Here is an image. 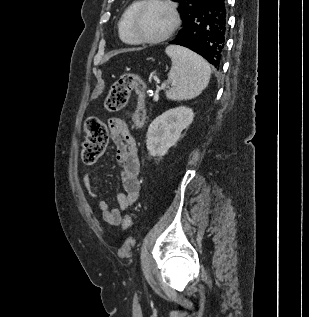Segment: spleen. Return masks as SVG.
Here are the masks:
<instances>
[{"mask_svg":"<svg viewBox=\"0 0 309 317\" xmlns=\"http://www.w3.org/2000/svg\"><path fill=\"white\" fill-rule=\"evenodd\" d=\"M171 58L172 67L167 83L172 87L165 91L170 100L181 101L197 97L207 87L211 68L198 54L178 45H170L165 50Z\"/></svg>","mask_w":309,"mask_h":317,"instance_id":"spleen-1","label":"spleen"}]
</instances>
